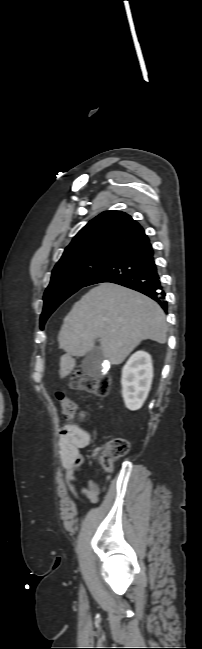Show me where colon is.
<instances>
[{"label": "colon", "instance_id": "5ec220e1", "mask_svg": "<svg viewBox=\"0 0 202 649\" xmlns=\"http://www.w3.org/2000/svg\"><path fill=\"white\" fill-rule=\"evenodd\" d=\"M71 389H78L94 395L105 396L110 389V379L107 376H89L75 373L69 381ZM56 397L60 403L63 416L73 419L78 415L76 404L64 392H57ZM129 450V442L120 437L105 441L93 451V458L101 464L107 472H112L114 463L122 458Z\"/></svg>", "mask_w": 202, "mask_h": 649}]
</instances>
